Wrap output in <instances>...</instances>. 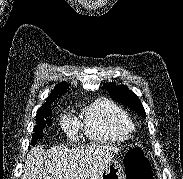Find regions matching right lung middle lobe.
Instances as JSON below:
<instances>
[{
    "mask_svg": "<svg viewBox=\"0 0 183 179\" xmlns=\"http://www.w3.org/2000/svg\"><path fill=\"white\" fill-rule=\"evenodd\" d=\"M51 109L49 106H43L37 111L36 115V123L37 125L34 127L33 131V137H32V145H35L37 143L38 139L42 138L43 129L46 125L51 126L52 121L48 117L51 115Z\"/></svg>",
    "mask_w": 183,
    "mask_h": 179,
    "instance_id": "dd1d6c3e",
    "label": "right lung middle lobe"
}]
</instances>
